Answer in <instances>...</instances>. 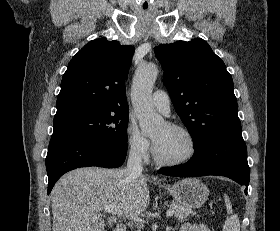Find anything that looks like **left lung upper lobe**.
<instances>
[{"label": "left lung upper lobe", "instance_id": "1", "mask_svg": "<svg viewBox=\"0 0 280 231\" xmlns=\"http://www.w3.org/2000/svg\"><path fill=\"white\" fill-rule=\"evenodd\" d=\"M175 110L194 145L217 134L241 131L233 81L224 62L200 38L155 48Z\"/></svg>", "mask_w": 280, "mask_h": 231}]
</instances>
